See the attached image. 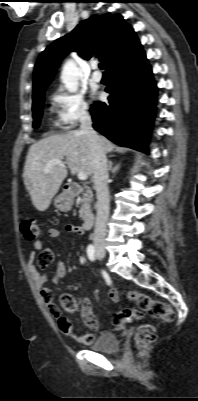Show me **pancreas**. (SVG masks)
<instances>
[{
    "mask_svg": "<svg viewBox=\"0 0 198 401\" xmlns=\"http://www.w3.org/2000/svg\"><path fill=\"white\" fill-rule=\"evenodd\" d=\"M93 199V195L90 190H87L82 197H80L79 201L81 204V208L79 211V217L81 219H85L86 215L91 211V202Z\"/></svg>",
    "mask_w": 198,
    "mask_h": 401,
    "instance_id": "pancreas-1",
    "label": "pancreas"
}]
</instances>
